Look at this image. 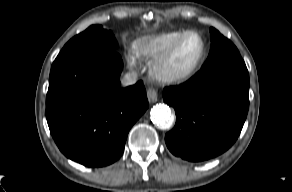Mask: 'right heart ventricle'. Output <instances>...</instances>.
Wrapping results in <instances>:
<instances>
[{"label":"right heart ventricle","instance_id":"obj_1","mask_svg":"<svg viewBox=\"0 0 292 192\" xmlns=\"http://www.w3.org/2000/svg\"><path fill=\"white\" fill-rule=\"evenodd\" d=\"M186 30H172L143 36L133 43L134 54L143 61L158 60Z\"/></svg>","mask_w":292,"mask_h":192}]
</instances>
